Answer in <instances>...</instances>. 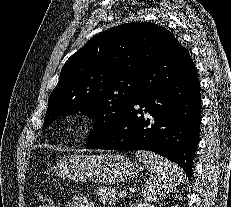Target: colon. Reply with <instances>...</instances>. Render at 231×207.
<instances>
[{"label": "colon", "instance_id": "colon-1", "mask_svg": "<svg viewBox=\"0 0 231 207\" xmlns=\"http://www.w3.org/2000/svg\"><path fill=\"white\" fill-rule=\"evenodd\" d=\"M39 207H56L54 197L51 195H41L39 197Z\"/></svg>", "mask_w": 231, "mask_h": 207}]
</instances>
